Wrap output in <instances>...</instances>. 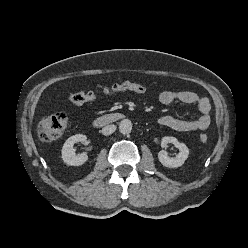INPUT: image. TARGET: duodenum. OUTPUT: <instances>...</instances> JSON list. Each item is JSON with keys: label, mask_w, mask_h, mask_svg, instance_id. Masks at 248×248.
Returning a JSON list of instances; mask_svg holds the SVG:
<instances>
[{"label": "duodenum", "mask_w": 248, "mask_h": 248, "mask_svg": "<svg viewBox=\"0 0 248 248\" xmlns=\"http://www.w3.org/2000/svg\"><path fill=\"white\" fill-rule=\"evenodd\" d=\"M123 118V115L118 112L108 113L105 115H102L100 117H97L93 121L94 126H102V125H108L114 122H117Z\"/></svg>", "instance_id": "obj_1"}]
</instances>
